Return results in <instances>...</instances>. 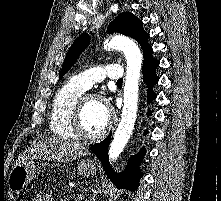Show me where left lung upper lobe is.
Returning <instances> with one entry per match:
<instances>
[{
  "label": "left lung upper lobe",
  "instance_id": "5c2ea615",
  "mask_svg": "<svg viewBox=\"0 0 221 201\" xmlns=\"http://www.w3.org/2000/svg\"><path fill=\"white\" fill-rule=\"evenodd\" d=\"M142 21L135 15L129 12L120 13L108 27V33L119 32L124 35L134 38L141 46L143 50V57L145 64L152 57L153 49L149 46L147 40L149 34L143 30ZM90 43V37L87 33L81 34L71 45L68 50L62 70L60 72V78L63 77L66 72L75 64L79 55L88 47Z\"/></svg>",
  "mask_w": 221,
  "mask_h": 201
}]
</instances>
